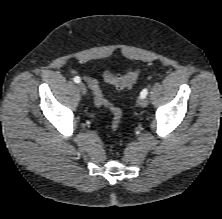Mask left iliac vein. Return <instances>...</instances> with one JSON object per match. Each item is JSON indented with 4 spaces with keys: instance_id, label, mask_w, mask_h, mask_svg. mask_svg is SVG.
Here are the masks:
<instances>
[{
    "instance_id": "4c4485c4",
    "label": "left iliac vein",
    "mask_w": 222,
    "mask_h": 219,
    "mask_svg": "<svg viewBox=\"0 0 222 219\" xmlns=\"http://www.w3.org/2000/svg\"><path fill=\"white\" fill-rule=\"evenodd\" d=\"M149 101L146 97H140L138 99V105L141 107H146L148 105Z\"/></svg>"
}]
</instances>
